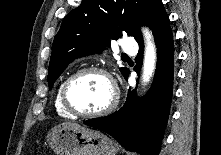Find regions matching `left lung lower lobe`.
Here are the masks:
<instances>
[{"mask_svg": "<svg viewBox=\"0 0 221 155\" xmlns=\"http://www.w3.org/2000/svg\"><path fill=\"white\" fill-rule=\"evenodd\" d=\"M146 25L152 29L158 55L149 92L138 98L136 89L129 91L121 109L106 117L84 121V124L108 133L128 151L158 155L170 111L174 62L173 36L163 4L152 12ZM136 41L139 44L136 60L140 64L143 57L142 36ZM135 70H139L138 65ZM128 75L129 71L125 77Z\"/></svg>", "mask_w": 221, "mask_h": 155, "instance_id": "left-lung-lower-lobe-1", "label": "left lung lower lobe"}]
</instances>
